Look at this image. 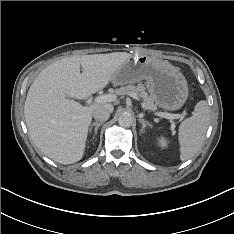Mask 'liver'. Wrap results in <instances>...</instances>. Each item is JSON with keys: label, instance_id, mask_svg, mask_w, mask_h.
<instances>
[{"label": "liver", "instance_id": "obj_1", "mask_svg": "<svg viewBox=\"0 0 234 234\" xmlns=\"http://www.w3.org/2000/svg\"><path fill=\"white\" fill-rule=\"evenodd\" d=\"M130 57L127 52L72 56L39 73L29 88L24 115L30 137L44 155L61 164L82 159L93 111H112L113 106H82L70 98L85 99L105 88Z\"/></svg>", "mask_w": 234, "mask_h": 234}]
</instances>
